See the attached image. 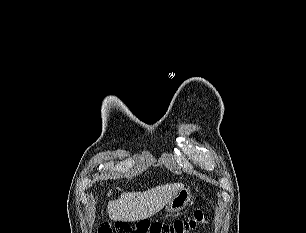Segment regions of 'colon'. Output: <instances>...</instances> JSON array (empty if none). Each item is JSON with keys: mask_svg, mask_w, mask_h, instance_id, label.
I'll list each match as a JSON object with an SVG mask.
<instances>
[{"mask_svg": "<svg viewBox=\"0 0 306 233\" xmlns=\"http://www.w3.org/2000/svg\"><path fill=\"white\" fill-rule=\"evenodd\" d=\"M207 216L203 209H198L189 219L175 221L173 223H145L135 225L119 222L114 225L102 224L98 233H195V231L207 223Z\"/></svg>", "mask_w": 306, "mask_h": 233, "instance_id": "1", "label": "colon"}]
</instances>
